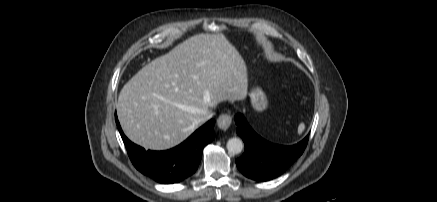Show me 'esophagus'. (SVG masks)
<instances>
[{"label":"esophagus","mask_w":437,"mask_h":202,"mask_svg":"<svg viewBox=\"0 0 437 202\" xmlns=\"http://www.w3.org/2000/svg\"><path fill=\"white\" fill-rule=\"evenodd\" d=\"M232 123V117L229 114H221L217 119V125L222 130H227Z\"/></svg>","instance_id":"obj_1"}]
</instances>
